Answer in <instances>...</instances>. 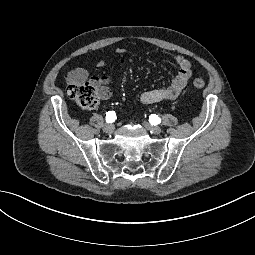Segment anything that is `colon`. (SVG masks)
<instances>
[{"label":"colon","instance_id":"5ec220e1","mask_svg":"<svg viewBox=\"0 0 255 255\" xmlns=\"http://www.w3.org/2000/svg\"><path fill=\"white\" fill-rule=\"evenodd\" d=\"M205 85L206 83L202 78H195L193 80V86L196 89H203ZM67 95L83 109H93L97 106L99 101L97 89L88 83L82 85H69L67 87Z\"/></svg>","mask_w":255,"mask_h":255}]
</instances>
